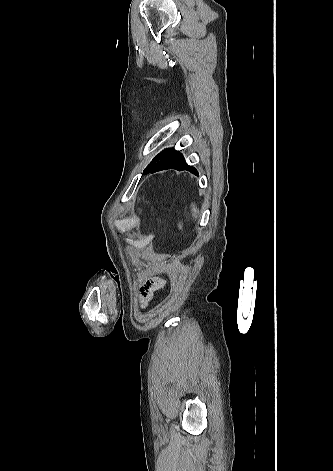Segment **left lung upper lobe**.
Instances as JSON below:
<instances>
[{
  "instance_id": "obj_1",
  "label": "left lung upper lobe",
  "mask_w": 333,
  "mask_h": 471,
  "mask_svg": "<svg viewBox=\"0 0 333 471\" xmlns=\"http://www.w3.org/2000/svg\"><path fill=\"white\" fill-rule=\"evenodd\" d=\"M178 153L174 148L165 149L163 152L158 154L152 162L144 169V174L155 173L169 169L168 164L174 155Z\"/></svg>"
}]
</instances>
